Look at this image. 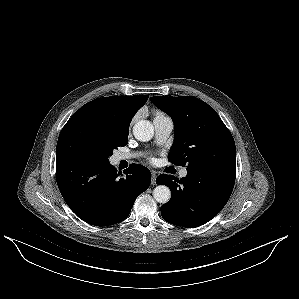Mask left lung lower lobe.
Returning <instances> with one entry per match:
<instances>
[{"label":"left lung lower lobe","mask_w":299,"mask_h":299,"mask_svg":"<svg viewBox=\"0 0 299 299\" xmlns=\"http://www.w3.org/2000/svg\"><path fill=\"white\" fill-rule=\"evenodd\" d=\"M236 162L204 163L187 170V176L174 180L161 174L157 184L168 186L170 201L161 207L169 223L194 228L213 219L227 203L235 183Z\"/></svg>","instance_id":"0a47b994"}]
</instances>
